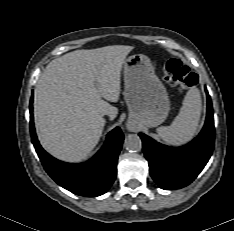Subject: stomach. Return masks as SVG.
Segmentation results:
<instances>
[{
  "instance_id": "obj_1",
  "label": "stomach",
  "mask_w": 234,
  "mask_h": 231,
  "mask_svg": "<svg viewBox=\"0 0 234 231\" xmlns=\"http://www.w3.org/2000/svg\"><path fill=\"white\" fill-rule=\"evenodd\" d=\"M123 74V94L130 120L146 127L163 123L170 110V101L151 60L143 54L129 56L123 63Z\"/></svg>"
}]
</instances>
